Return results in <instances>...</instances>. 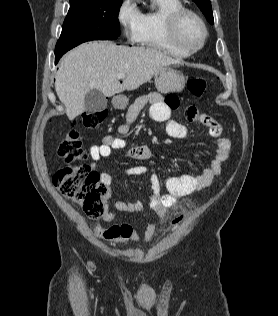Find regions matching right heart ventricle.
Instances as JSON below:
<instances>
[{
  "label": "right heart ventricle",
  "instance_id": "e07e8e85",
  "mask_svg": "<svg viewBox=\"0 0 278 316\" xmlns=\"http://www.w3.org/2000/svg\"><path fill=\"white\" fill-rule=\"evenodd\" d=\"M154 10L142 13L137 42L145 47L163 51L177 58L190 53L173 39L169 29L170 15L184 7L182 0H152Z\"/></svg>",
  "mask_w": 278,
  "mask_h": 316
}]
</instances>
